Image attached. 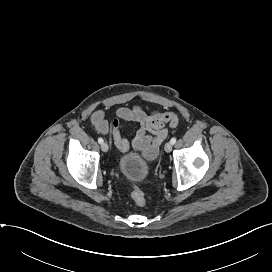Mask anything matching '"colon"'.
Listing matches in <instances>:
<instances>
[{
    "mask_svg": "<svg viewBox=\"0 0 272 272\" xmlns=\"http://www.w3.org/2000/svg\"><path fill=\"white\" fill-rule=\"evenodd\" d=\"M131 197L137 206L142 207L146 204L145 195L143 191L137 186H132Z\"/></svg>",
    "mask_w": 272,
    "mask_h": 272,
    "instance_id": "1",
    "label": "colon"
}]
</instances>
